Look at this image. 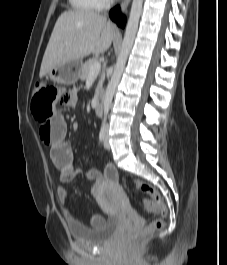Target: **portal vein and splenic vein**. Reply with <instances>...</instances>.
I'll list each match as a JSON object with an SVG mask.
<instances>
[{"label":"portal vein and splenic vein","instance_id":"18ae733b","mask_svg":"<svg viewBox=\"0 0 227 265\" xmlns=\"http://www.w3.org/2000/svg\"><path fill=\"white\" fill-rule=\"evenodd\" d=\"M101 70V63L97 62L90 67L89 76H96Z\"/></svg>","mask_w":227,"mask_h":265}]
</instances>
